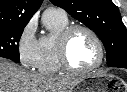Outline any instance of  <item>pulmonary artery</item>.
I'll return each mask as SVG.
<instances>
[{"mask_svg": "<svg viewBox=\"0 0 127 92\" xmlns=\"http://www.w3.org/2000/svg\"><path fill=\"white\" fill-rule=\"evenodd\" d=\"M52 11H54V12H60V13H64L62 10H59V9H53V8H50V9L47 10V12H52Z\"/></svg>", "mask_w": 127, "mask_h": 92, "instance_id": "pulmonary-artery-1", "label": "pulmonary artery"}]
</instances>
